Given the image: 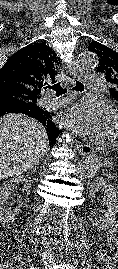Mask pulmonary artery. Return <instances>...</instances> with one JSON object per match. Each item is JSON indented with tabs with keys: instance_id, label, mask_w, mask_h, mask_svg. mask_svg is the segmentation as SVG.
Returning a JSON list of instances; mask_svg holds the SVG:
<instances>
[{
	"instance_id": "obj_1",
	"label": "pulmonary artery",
	"mask_w": 118,
	"mask_h": 269,
	"mask_svg": "<svg viewBox=\"0 0 118 269\" xmlns=\"http://www.w3.org/2000/svg\"><path fill=\"white\" fill-rule=\"evenodd\" d=\"M86 83L91 90H99L103 86V79L101 76H90L86 79Z\"/></svg>"
}]
</instances>
